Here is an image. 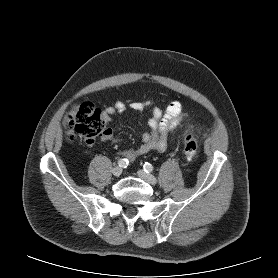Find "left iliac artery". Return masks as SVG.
<instances>
[{
    "label": "left iliac artery",
    "instance_id": "1",
    "mask_svg": "<svg viewBox=\"0 0 278 278\" xmlns=\"http://www.w3.org/2000/svg\"><path fill=\"white\" fill-rule=\"evenodd\" d=\"M143 168H144L146 173L153 172V170H154L152 164H150L148 162L144 163Z\"/></svg>",
    "mask_w": 278,
    "mask_h": 278
}]
</instances>
